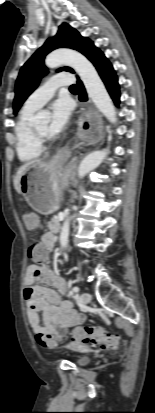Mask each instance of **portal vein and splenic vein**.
<instances>
[{"label": "portal vein and splenic vein", "instance_id": "portal-vein-and-splenic-vein-1", "mask_svg": "<svg viewBox=\"0 0 155 413\" xmlns=\"http://www.w3.org/2000/svg\"><path fill=\"white\" fill-rule=\"evenodd\" d=\"M61 217H62V215H61V214H59L58 218H61Z\"/></svg>", "mask_w": 155, "mask_h": 413}]
</instances>
